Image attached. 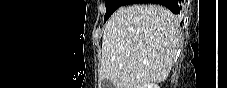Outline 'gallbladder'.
Segmentation results:
<instances>
[{
	"mask_svg": "<svg viewBox=\"0 0 227 88\" xmlns=\"http://www.w3.org/2000/svg\"><path fill=\"white\" fill-rule=\"evenodd\" d=\"M101 87L102 88H112L113 87V84H112V82L110 80L104 79L101 82Z\"/></svg>",
	"mask_w": 227,
	"mask_h": 88,
	"instance_id": "bac80fb5",
	"label": "gallbladder"
}]
</instances>
